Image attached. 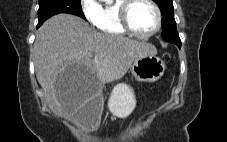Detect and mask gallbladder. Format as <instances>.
Returning a JSON list of instances; mask_svg holds the SVG:
<instances>
[{
	"mask_svg": "<svg viewBox=\"0 0 227 142\" xmlns=\"http://www.w3.org/2000/svg\"><path fill=\"white\" fill-rule=\"evenodd\" d=\"M103 110V99L101 94L98 97L87 102L76 114V118L82 122H90L96 124L99 122L100 114Z\"/></svg>",
	"mask_w": 227,
	"mask_h": 142,
	"instance_id": "gallbladder-1",
	"label": "gallbladder"
}]
</instances>
